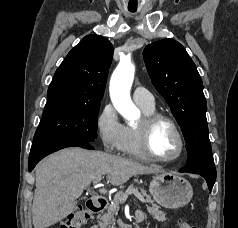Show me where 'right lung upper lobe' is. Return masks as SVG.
<instances>
[{"instance_id":"cb5924a9","label":"right lung upper lobe","mask_w":238,"mask_h":228,"mask_svg":"<svg viewBox=\"0 0 238 228\" xmlns=\"http://www.w3.org/2000/svg\"><path fill=\"white\" fill-rule=\"evenodd\" d=\"M112 57L113 46L108 39L85 36L55 72L43 114L66 107L100 104Z\"/></svg>"}]
</instances>
